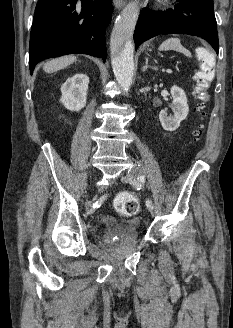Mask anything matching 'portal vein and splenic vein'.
<instances>
[{"label":"portal vein and splenic vein","instance_id":"obj_1","mask_svg":"<svg viewBox=\"0 0 233 328\" xmlns=\"http://www.w3.org/2000/svg\"><path fill=\"white\" fill-rule=\"evenodd\" d=\"M166 72L170 74V73H172V70L171 69H167Z\"/></svg>","mask_w":233,"mask_h":328}]
</instances>
